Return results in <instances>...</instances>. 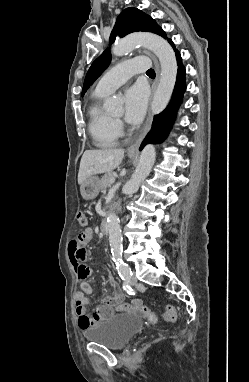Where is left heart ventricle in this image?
I'll list each match as a JSON object with an SVG mask.
<instances>
[{"label":"left heart ventricle","instance_id":"left-heart-ventricle-1","mask_svg":"<svg viewBox=\"0 0 249 382\" xmlns=\"http://www.w3.org/2000/svg\"><path fill=\"white\" fill-rule=\"evenodd\" d=\"M120 115H121V113H117V114H115L116 117H119Z\"/></svg>","mask_w":249,"mask_h":382}]
</instances>
